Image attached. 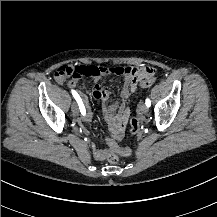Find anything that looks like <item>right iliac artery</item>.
Wrapping results in <instances>:
<instances>
[{"mask_svg": "<svg viewBox=\"0 0 217 217\" xmlns=\"http://www.w3.org/2000/svg\"><path fill=\"white\" fill-rule=\"evenodd\" d=\"M72 95L74 96L75 100L77 101L78 105H79V109L82 115H85L86 110H85V106L82 102V99L80 98V96L78 95V93L75 90H71Z\"/></svg>", "mask_w": 217, "mask_h": 217, "instance_id": "right-iliac-artery-1", "label": "right iliac artery"}]
</instances>
